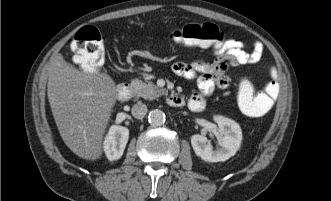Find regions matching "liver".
<instances>
[{
	"mask_svg": "<svg viewBox=\"0 0 331 201\" xmlns=\"http://www.w3.org/2000/svg\"><path fill=\"white\" fill-rule=\"evenodd\" d=\"M47 94L61 138L78 157L101 158L103 137L117 100L113 79L86 73L54 54L46 66Z\"/></svg>",
	"mask_w": 331,
	"mask_h": 201,
	"instance_id": "obj_1",
	"label": "liver"
}]
</instances>
